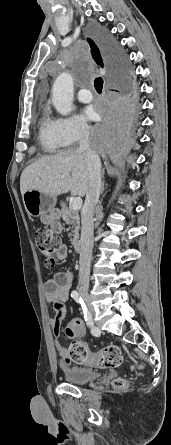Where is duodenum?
Returning a JSON list of instances; mask_svg holds the SVG:
<instances>
[{
  "label": "duodenum",
  "instance_id": "obj_1",
  "mask_svg": "<svg viewBox=\"0 0 171 445\" xmlns=\"http://www.w3.org/2000/svg\"><path fill=\"white\" fill-rule=\"evenodd\" d=\"M72 244L76 252H81L83 250L82 241L79 237H74L72 240Z\"/></svg>",
  "mask_w": 171,
  "mask_h": 445
}]
</instances>
